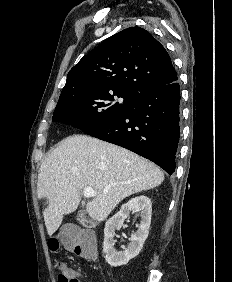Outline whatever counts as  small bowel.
Returning a JSON list of instances; mask_svg holds the SVG:
<instances>
[{
	"instance_id": "1",
	"label": "small bowel",
	"mask_w": 232,
	"mask_h": 282,
	"mask_svg": "<svg viewBox=\"0 0 232 282\" xmlns=\"http://www.w3.org/2000/svg\"><path fill=\"white\" fill-rule=\"evenodd\" d=\"M72 274H74L75 276H77V273H76L74 270H72ZM79 280H80V279H79ZM80 282H84V281L80 280Z\"/></svg>"
}]
</instances>
